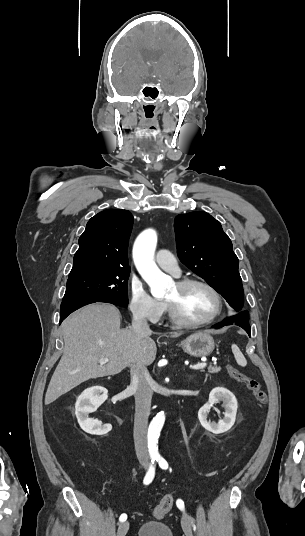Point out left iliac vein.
<instances>
[{
  "mask_svg": "<svg viewBox=\"0 0 305 536\" xmlns=\"http://www.w3.org/2000/svg\"><path fill=\"white\" fill-rule=\"evenodd\" d=\"M181 525L185 536H193L192 527L186 514L182 515Z\"/></svg>",
  "mask_w": 305,
  "mask_h": 536,
  "instance_id": "4c4485c4",
  "label": "left iliac vein"
}]
</instances>
